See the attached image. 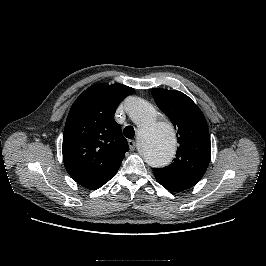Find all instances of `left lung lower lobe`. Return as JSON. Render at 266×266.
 Instances as JSON below:
<instances>
[{
	"mask_svg": "<svg viewBox=\"0 0 266 266\" xmlns=\"http://www.w3.org/2000/svg\"><path fill=\"white\" fill-rule=\"evenodd\" d=\"M163 186V185H162ZM166 189H168L169 191H173V192H177V191H174V190H172V189H170V188H168V187H166V186H164Z\"/></svg>",
	"mask_w": 266,
	"mask_h": 266,
	"instance_id": "1",
	"label": "left lung lower lobe"
}]
</instances>
